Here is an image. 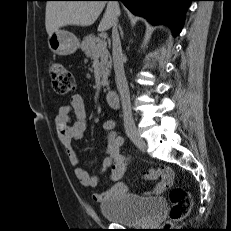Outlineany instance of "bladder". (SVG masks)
<instances>
[{"instance_id": "1", "label": "bladder", "mask_w": 231, "mask_h": 231, "mask_svg": "<svg viewBox=\"0 0 231 231\" xmlns=\"http://www.w3.org/2000/svg\"><path fill=\"white\" fill-rule=\"evenodd\" d=\"M166 208L162 197L144 199L136 195L126 194L100 205L101 214L113 223L142 226L155 220Z\"/></svg>"}]
</instances>
